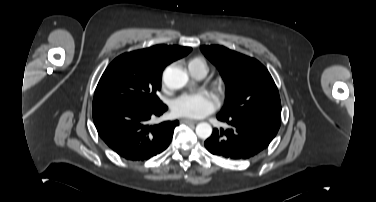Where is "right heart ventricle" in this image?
<instances>
[{"instance_id":"right-heart-ventricle-1","label":"right heart ventricle","mask_w":376,"mask_h":202,"mask_svg":"<svg viewBox=\"0 0 376 202\" xmlns=\"http://www.w3.org/2000/svg\"><path fill=\"white\" fill-rule=\"evenodd\" d=\"M188 68L191 72H194L198 69H205L207 70V65L204 59L200 57L193 58L188 63Z\"/></svg>"}]
</instances>
